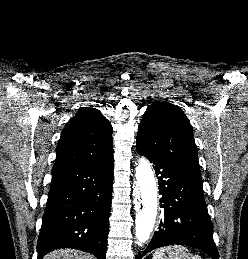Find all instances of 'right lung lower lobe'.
<instances>
[{
    "label": "right lung lower lobe",
    "instance_id": "obj_1",
    "mask_svg": "<svg viewBox=\"0 0 248 259\" xmlns=\"http://www.w3.org/2000/svg\"><path fill=\"white\" fill-rule=\"evenodd\" d=\"M113 153L93 163L52 171L38 238V259L58 248L106 258L113 184Z\"/></svg>",
    "mask_w": 248,
    "mask_h": 259
}]
</instances>
